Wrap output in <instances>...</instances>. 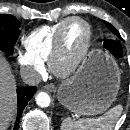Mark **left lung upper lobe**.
<instances>
[{
  "label": "left lung upper lobe",
  "mask_w": 130,
  "mask_h": 130,
  "mask_svg": "<svg viewBox=\"0 0 130 130\" xmlns=\"http://www.w3.org/2000/svg\"><path fill=\"white\" fill-rule=\"evenodd\" d=\"M105 22V21H104ZM106 26L112 31V33H114L115 35H117L118 37H120V34L118 33V31L115 29V27H113L110 23L105 22Z\"/></svg>",
  "instance_id": "left-lung-upper-lobe-1"
}]
</instances>
